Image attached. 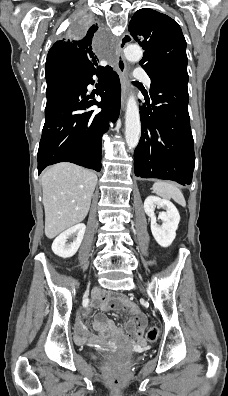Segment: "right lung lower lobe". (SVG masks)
Masks as SVG:
<instances>
[{
  "instance_id": "obj_1",
  "label": "right lung lower lobe",
  "mask_w": 228,
  "mask_h": 396,
  "mask_svg": "<svg viewBox=\"0 0 228 396\" xmlns=\"http://www.w3.org/2000/svg\"><path fill=\"white\" fill-rule=\"evenodd\" d=\"M99 77L100 102L86 96L87 86ZM121 87L112 69L84 70L47 98L45 124L38 149V174L58 162H72L100 171L102 136L108 121L115 122L120 112ZM97 105L101 111L92 110Z\"/></svg>"
}]
</instances>
